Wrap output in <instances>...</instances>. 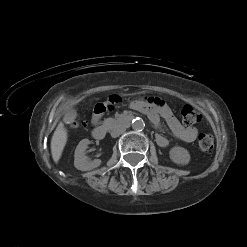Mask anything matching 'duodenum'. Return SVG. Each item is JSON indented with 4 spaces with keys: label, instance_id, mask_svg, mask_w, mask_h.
Instances as JSON below:
<instances>
[{
    "label": "duodenum",
    "instance_id": "duodenum-1",
    "mask_svg": "<svg viewBox=\"0 0 247 247\" xmlns=\"http://www.w3.org/2000/svg\"><path fill=\"white\" fill-rule=\"evenodd\" d=\"M134 117L132 115H124L115 119H111L109 122L95 126L92 135L95 139L101 140L105 137L106 133L108 132L109 128L114 125H130L133 121Z\"/></svg>",
    "mask_w": 247,
    "mask_h": 247
}]
</instances>
